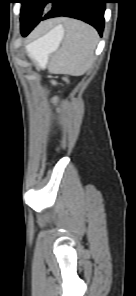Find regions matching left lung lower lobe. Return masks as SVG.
<instances>
[{
    "label": "left lung lower lobe",
    "instance_id": "obj_1",
    "mask_svg": "<svg viewBox=\"0 0 136 296\" xmlns=\"http://www.w3.org/2000/svg\"><path fill=\"white\" fill-rule=\"evenodd\" d=\"M51 3L53 4L51 10L41 20L59 16L76 18L95 27L102 36L107 0H52ZM37 24L21 29L22 35L27 36Z\"/></svg>",
    "mask_w": 136,
    "mask_h": 296
}]
</instances>
